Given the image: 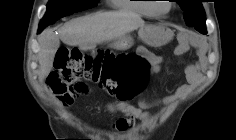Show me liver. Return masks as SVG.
<instances>
[{
    "mask_svg": "<svg viewBox=\"0 0 236 140\" xmlns=\"http://www.w3.org/2000/svg\"><path fill=\"white\" fill-rule=\"evenodd\" d=\"M143 26L144 21L134 13L97 12L65 23L58 30V35L52 29H46L38 38L39 80H43L51 72L60 39L67 45L87 49L97 43L123 37Z\"/></svg>",
    "mask_w": 236,
    "mask_h": 140,
    "instance_id": "6515ba94",
    "label": "liver"
}]
</instances>
